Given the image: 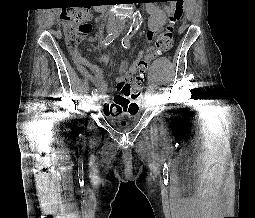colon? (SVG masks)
<instances>
[{
	"label": "colon",
	"instance_id": "5ec220e1",
	"mask_svg": "<svg viewBox=\"0 0 255 218\" xmlns=\"http://www.w3.org/2000/svg\"><path fill=\"white\" fill-rule=\"evenodd\" d=\"M178 5L182 0H166ZM182 9L178 6L173 14L168 18V26L164 32H162L155 44V48L151 50L150 56L156 57L158 54L167 51L173 41V26L180 18ZM61 19L65 25V37L69 50L71 51L76 63L82 68V58L77 52L79 44L90 33L92 27V15L83 7H68L61 12ZM139 75L130 84H125L122 89L128 94L129 98L137 97L142 91V78L141 74L146 69V63L141 61L138 65ZM137 110L134 104L129 102L120 105L115 113L120 112H135Z\"/></svg>",
	"mask_w": 255,
	"mask_h": 218
}]
</instances>
